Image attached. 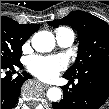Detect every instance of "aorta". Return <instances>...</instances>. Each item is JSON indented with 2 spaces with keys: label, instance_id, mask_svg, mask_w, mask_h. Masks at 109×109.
<instances>
[{
  "label": "aorta",
  "instance_id": "762f6f07",
  "mask_svg": "<svg viewBox=\"0 0 109 109\" xmlns=\"http://www.w3.org/2000/svg\"><path fill=\"white\" fill-rule=\"evenodd\" d=\"M32 47L38 52H49L55 47V37L51 32L39 31L32 37ZM47 97L52 102H58L62 97V90L58 87L49 88Z\"/></svg>",
  "mask_w": 109,
  "mask_h": 109
}]
</instances>
